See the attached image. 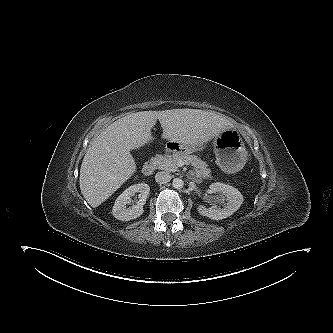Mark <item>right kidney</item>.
Listing matches in <instances>:
<instances>
[{
	"mask_svg": "<svg viewBox=\"0 0 333 333\" xmlns=\"http://www.w3.org/2000/svg\"><path fill=\"white\" fill-rule=\"evenodd\" d=\"M149 186L145 183L132 185L127 188L115 201L112 212L116 219L121 221H130L140 217L144 213L143 206L141 204H135L131 207H127L130 198L140 193L142 196L149 194Z\"/></svg>",
	"mask_w": 333,
	"mask_h": 333,
	"instance_id": "obj_1",
	"label": "right kidney"
}]
</instances>
